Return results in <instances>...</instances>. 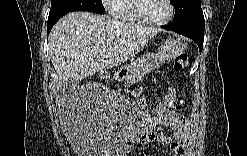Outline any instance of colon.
Returning <instances> with one entry per match:
<instances>
[{
    "label": "colon",
    "mask_w": 247,
    "mask_h": 156,
    "mask_svg": "<svg viewBox=\"0 0 247 156\" xmlns=\"http://www.w3.org/2000/svg\"><path fill=\"white\" fill-rule=\"evenodd\" d=\"M187 66V55L179 54L173 60V69L175 71H182ZM175 98V91L170 88L168 94L165 98H160V101H156V104H153V107H147V112H152L150 117L152 124H160L164 118H167V113L172 112V107L174 106L173 99ZM161 130V125H153L146 131V136L149 138L155 137Z\"/></svg>",
    "instance_id": "1"
}]
</instances>
